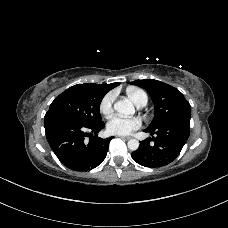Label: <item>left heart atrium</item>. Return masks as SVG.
I'll return each mask as SVG.
<instances>
[{
    "mask_svg": "<svg viewBox=\"0 0 228 228\" xmlns=\"http://www.w3.org/2000/svg\"><path fill=\"white\" fill-rule=\"evenodd\" d=\"M140 126L141 121L138 118L128 119L115 115L108 121L107 130L113 134L126 135L137 130Z\"/></svg>",
    "mask_w": 228,
    "mask_h": 228,
    "instance_id": "39dd6f15",
    "label": "left heart atrium"
}]
</instances>
